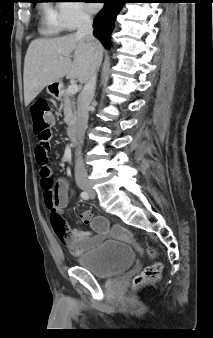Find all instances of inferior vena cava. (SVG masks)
I'll list each match as a JSON object with an SVG mask.
<instances>
[{
	"mask_svg": "<svg viewBox=\"0 0 213 338\" xmlns=\"http://www.w3.org/2000/svg\"><path fill=\"white\" fill-rule=\"evenodd\" d=\"M77 37L85 38L89 41H96L93 36V27L92 20L89 15L83 14L81 16L80 25L78 27ZM102 60V53H99L96 66L91 73L89 80L85 83L79 98H78V116H77V137L80 143H82L85 130L88 122V110L91 101L93 100L95 89H96V80H97V69ZM87 171L83 165L81 159L80 147L76 150V161H75V179L77 181L84 180L87 181Z\"/></svg>",
	"mask_w": 213,
	"mask_h": 338,
	"instance_id": "obj_1",
	"label": "inferior vena cava"
}]
</instances>
